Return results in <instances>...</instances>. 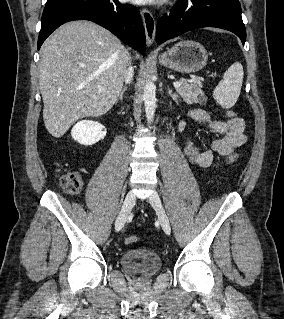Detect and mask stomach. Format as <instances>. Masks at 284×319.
Returning a JSON list of instances; mask_svg holds the SVG:
<instances>
[{
    "label": "stomach",
    "instance_id": "0dacf381",
    "mask_svg": "<svg viewBox=\"0 0 284 319\" xmlns=\"http://www.w3.org/2000/svg\"><path fill=\"white\" fill-rule=\"evenodd\" d=\"M208 54L198 42L183 40L159 56L161 65L180 73H194L207 64Z\"/></svg>",
    "mask_w": 284,
    "mask_h": 319
}]
</instances>
